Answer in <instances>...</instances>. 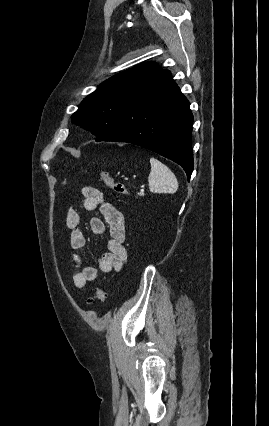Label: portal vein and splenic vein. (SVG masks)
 Masks as SVG:
<instances>
[{
	"label": "portal vein and splenic vein",
	"instance_id": "1",
	"mask_svg": "<svg viewBox=\"0 0 269 426\" xmlns=\"http://www.w3.org/2000/svg\"><path fill=\"white\" fill-rule=\"evenodd\" d=\"M140 193H141V194H143V193H144V189H143V188H141Z\"/></svg>",
	"mask_w": 269,
	"mask_h": 426
}]
</instances>
